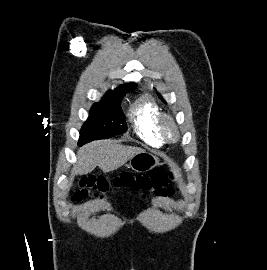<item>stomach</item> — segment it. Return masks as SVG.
<instances>
[{"label":"stomach","instance_id":"obj_1","mask_svg":"<svg viewBox=\"0 0 267 270\" xmlns=\"http://www.w3.org/2000/svg\"><path fill=\"white\" fill-rule=\"evenodd\" d=\"M159 165V159L148 152H141L129 160L128 168L135 172H147Z\"/></svg>","mask_w":267,"mask_h":270}]
</instances>
